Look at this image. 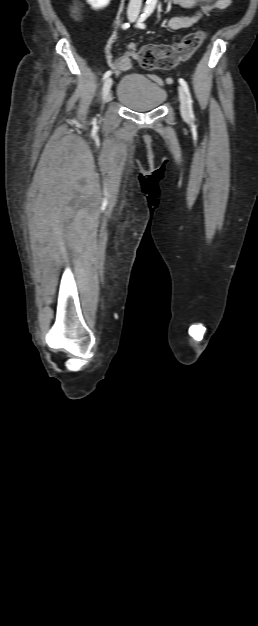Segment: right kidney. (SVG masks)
Wrapping results in <instances>:
<instances>
[{
	"instance_id": "1",
	"label": "right kidney",
	"mask_w": 258,
	"mask_h": 626,
	"mask_svg": "<svg viewBox=\"0 0 258 626\" xmlns=\"http://www.w3.org/2000/svg\"><path fill=\"white\" fill-rule=\"evenodd\" d=\"M111 0H87L94 10H101L108 6Z\"/></svg>"
}]
</instances>
